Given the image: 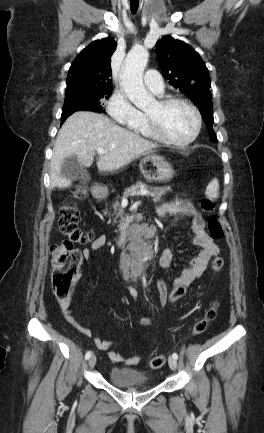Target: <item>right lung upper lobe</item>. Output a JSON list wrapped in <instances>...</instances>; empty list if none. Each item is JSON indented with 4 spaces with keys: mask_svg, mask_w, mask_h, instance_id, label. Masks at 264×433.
I'll list each match as a JSON object with an SVG mask.
<instances>
[{
    "mask_svg": "<svg viewBox=\"0 0 264 433\" xmlns=\"http://www.w3.org/2000/svg\"><path fill=\"white\" fill-rule=\"evenodd\" d=\"M116 46L110 37L96 40L76 57L68 71L66 97L112 89L110 58Z\"/></svg>",
    "mask_w": 264,
    "mask_h": 433,
    "instance_id": "right-lung-upper-lobe-1",
    "label": "right lung upper lobe"
}]
</instances>
